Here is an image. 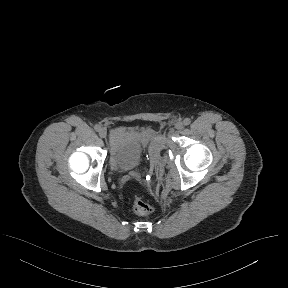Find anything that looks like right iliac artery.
<instances>
[{"mask_svg": "<svg viewBox=\"0 0 288 288\" xmlns=\"http://www.w3.org/2000/svg\"><path fill=\"white\" fill-rule=\"evenodd\" d=\"M94 129H95L96 131H100V130H101V126L98 125V124H96V125L94 126Z\"/></svg>", "mask_w": 288, "mask_h": 288, "instance_id": "right-iliac-artery-1", "label": "right iliac artery"}]
</instances>
